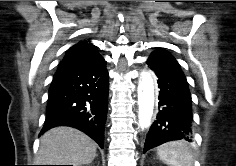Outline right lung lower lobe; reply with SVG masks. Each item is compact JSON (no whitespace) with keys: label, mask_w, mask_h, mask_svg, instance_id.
Returning <instances> with one entry per match:
<instances>
[{"label":"right lung lower lobe","mask_w":236,"mask_h":166,"mask_svg":"<svg viewBox=\"0 0 236 166\" xmlns=\"http://www.w3.org/2000/svg\"><path fill=\"white\" fill-rule=\"evenodd\" d=\"M105 64L104 60L90 67L57 70L49 89L42 133L56 126H70L104 147L109 92Z\"/></svg>","instance_id":"right-lung-lower-lobe-1"}]
</instances>
